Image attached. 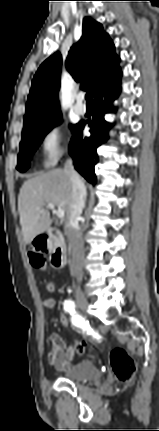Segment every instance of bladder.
<instances>
[{"label": "bladder", "instance_id": "31cf9c89", "mask_svg": "<svg viewBox=\"0 0 159 431\" xmlns=\"http://www.w3.org/2000/svg\"><path fill=\"white\" fill-rule=\"evenodd\" d=\"M100 370L91 361H81L65 370L61 377L71 382H83L98 379Z\"/></svg>", "mask_w": 159, "mask_h": 431}]
</instances>
